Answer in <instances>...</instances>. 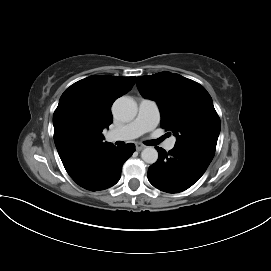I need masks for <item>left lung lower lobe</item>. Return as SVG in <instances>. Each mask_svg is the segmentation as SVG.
Masks as SVG:
<instances>
[{
    "label": "left lung lower lobe",
    "mask_w": 271,
    "mask_h": 271,
    "mask_svg": "<svg viewBox=\"0 0 271 271\" xmlns=\"http://www.w3.org/2000/svg\"><path fill=\"white\" fill-rule=\"evenodd\" d=\"M156 149L159 157L148 169V180L167 193H179L191 187L214 157L213 152L187 145H175L168 153L160 147Z\"/></svg>",
    "instance_id": "left-lung-lower-lobe-1"
}]
</instances>
